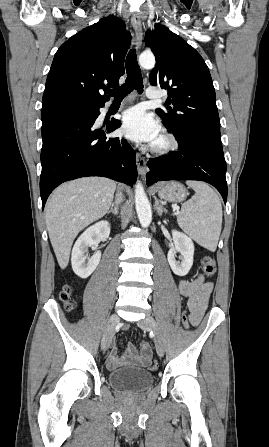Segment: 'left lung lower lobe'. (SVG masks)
Segmentation results:
<instances>
[{
	"label": "left lung lower lobe",
	"mask_w": 269,
	"mask_h": 447,
	"mask_svg": "<svg viewBox=\"0 0 269 447\" xmlns=\"http://www.w3.org/2000/svg\"><path fill=\"white\" fill-rule=\"evenodd\" d=\"M177 141L178 151L148 161L147 185L164 180H201L216 187L226 204V162L221 139L197 135L188 142Z\"/></svg>",
	"instance_id": "0a47b994"
}]
</instances>
